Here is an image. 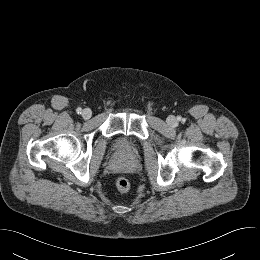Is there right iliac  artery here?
Wrapping results in <instances>:
<instances>
[{
    "label": "right iliac artery",
    "mask_w": 260,
    "mask_h": 260,
    "mask_svg": "<svg viewBox=\"0 0 260 260\" xmlns=\"http://www.w3.org/2000/svg\"><path fill=\"white\" fill-rule=\"evenodd\" d=\"M76 112H77L78 114H81V113H82V109L79 107V108L76 109Z\"/></svg>",
    "instance_id": "1"
}]
</instances>
